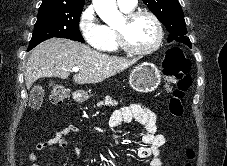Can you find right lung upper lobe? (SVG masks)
I'll return each instance as SVG.
<instances>
[{
  "label": "right lung upper lobe",
  "instance_id": "cb5924a9",
  "mask_svg": "<svg viewBox=\"0 0 227 166\" xmlns=\"http://www.w3.org/2000/svg\"><path fill=\"white\" fill-rule=\"evenodd\" d=\"M85 0H43L40 8L83 9Z\"/></svg>",
  "mask_w": 227,
  "mask_h": 166
}]
</instances>
